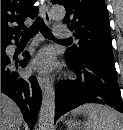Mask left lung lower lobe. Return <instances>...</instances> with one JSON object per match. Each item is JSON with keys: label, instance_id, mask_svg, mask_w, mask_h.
<instances>
[{"label": "left lung lower lobe", "instance_id": "left-lung-lower-lobe-1", "mask_svg": "<svg viewBox=\"0 0 123 130\" xmlns=\"http://www.w3.org/2000/svg\"><path fill=\"white\" fill-rule=\"evenodd\" d=\"M66 64L78 76L60 81L55 89V122L63 114L86 103L107 104L123 113V102L114 66L95 60H76L65 55Z\"/></svg>", "mask_w": 123, "mask_h": 130}]
</instances>
